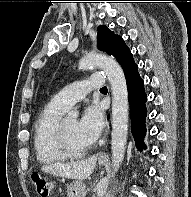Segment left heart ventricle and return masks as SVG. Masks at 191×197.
<instances>
[{"label":"left heart ventricle","instance_id":"b2bd125f","mask_svg":"<svg viewBox=\"0 0 191 197\" xmlns=\"http://www.w3.org/2000/svg\"><path fill=\"white\" fill-rule=\"evenodd\" d=\"M76 120L64 121V127L67 135L68 142L73 149H82L88 146L78 135Z\"/></svg>","mask_w":191,"mask_h":197}]
</instances>
